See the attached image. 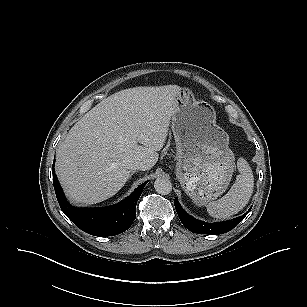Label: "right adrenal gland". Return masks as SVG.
I'll return each mask as SVG.
<instances>
[{"label":"right adrenal gland","instance_id":"right-adrenal-gland-1","mask_svg":"<svg viewBox=\"0 0 307 307\" xmlns=\"http://www.w3.org/2000/svg\"><path fill=\"white\" fill-rule=\"evenodd\" d=\"M135 172H132L131 174H130V178H131V176L134 174Z\"/></svg>","mask_w":307,"mask_h":307}]
</instances>
